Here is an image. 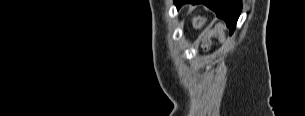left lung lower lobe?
I'll use <instances>...</instances> for the list:
<instances>
[{
    "mask_svg": "<svg viewBox=\"0 0 305 116\" xmlns=\"http://www.w3.org/2000/svg\"><path fill=\"white\" fill-rule=\"evenodd\" d=\"M187 2L192 4L203 3L214 10L217 17L225 20L230 28V33H233L242 9L241 0H175L178 7Z\"/></svg>",
    "mask_w": 305,
    "mask_h": 116,
    "instance_id": "obj_1",
    "label": "left lung lower lobe"
}]
</instances>
